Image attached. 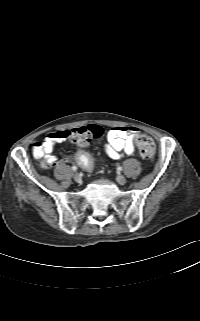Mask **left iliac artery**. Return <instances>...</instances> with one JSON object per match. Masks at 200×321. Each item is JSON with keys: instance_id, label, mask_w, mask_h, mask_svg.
Here are the masks:
<instances>
[{"instance_id": "obj_1", "label": "left iliac artery", "mask_w": 200, "mask_h": 321, "mask_svg": "<svg viewBox=\"0 0 200 321\" xmlns=\"http://www.w3.org/2000/svg\"><path fill=\"white\" fill-rule=\"evenodd\" d=\"M117 170H118V171H121V170H122V167H121V166H119V167L117 168Z\"/></svg>"}]
</instances>
